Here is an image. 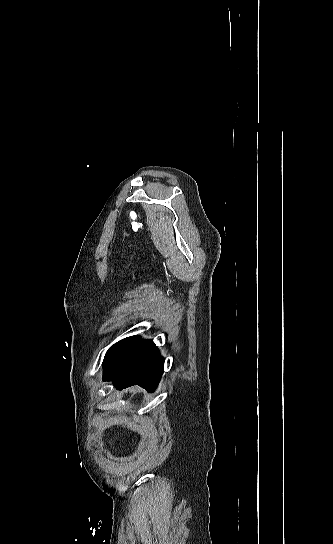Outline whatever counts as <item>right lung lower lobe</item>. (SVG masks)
Here are the masks:
<instances>
[{"label":"right lung lower lobe","instance_id":"98d812e1","mask_svg":"<svg viewBox=\"0 0 333 544\" xmlns=\"http://www.w3.org/2000/svg\"><path fill=\"white\" fill-rule=\"evenodd\" d=\"M164 372V358L152 340L137 339L104 364L103 381L119 390L139 385L156 390Z\"/></svg>","mask_w":333,"mask_h":544}]
</instances>
